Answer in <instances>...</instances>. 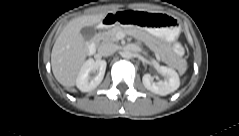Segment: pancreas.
Segmentation results:
<instances>
[{"label": "pancreas", "instance_id": "obj_1", "mask_svg": "<svg viewBox=\"0 0 239 136\" xmlns=\"http://www.w3.org/2000/svg\"><path fill=\"white\" fill-rule=\"evenodd\" d=\"M120 32L132 33L135 37L142 38L150 46L151 49L160 52V48H158L156 45L152 43L151 38L146 33L141 32L137 28L123 29L122 27L117 25L110 28L108 31L99 34L98 38L102 42H118L119 39L117 37V34ZM165 62L170 64L168 60H165Z\"/></svg>", "mask_w": 239, "mask_h": 136}]
</instances>
